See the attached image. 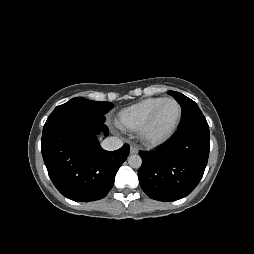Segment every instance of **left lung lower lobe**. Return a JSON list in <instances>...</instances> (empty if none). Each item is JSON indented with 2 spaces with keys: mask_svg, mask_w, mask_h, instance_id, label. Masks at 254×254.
<instances>
[{
  "mask_svg": "<svg viewBox=\"0 0 254 254\" xmlns=\"http://www.w3.org/2000/svg\"><path fill=\"white\" fill-rule=\"evenodd\" d=\"M209 143L208 124H193L178 128L156 151H139L138 177L144 192L159 201H175L191 193L207 165Z\"/></svg>",
  "mask_w": 254,
  "mask_h": 254,
  "instance_id": "1",
  "label": "left lung lower lobe"
}]
</instances>
